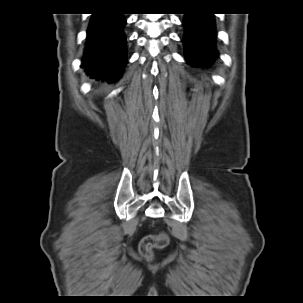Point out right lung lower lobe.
<instances>
[{"instance_id":"98d812e1","label":"right lung lower lobe","mask_w":303,"mask_h":303,"mask_svg":"<svg viewBox=\"0 0 303 303\" xmlns=\"http://www.w3.org/2000/svg\"><path fill=\"white\" fill-rule=\"evenodd\" d=\"M126 20L122 14H93L87 31L83 65L93 78L117 80L126 64Z\"/></svg>"}]
</instances>
